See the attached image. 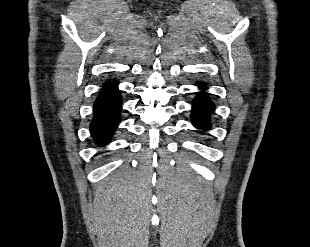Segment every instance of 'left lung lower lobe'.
Listing matches in <instances>:
<instances>
[{
	"instance_id": "left-lung-lower-lobe-1",
	"label": "left lung lower lobe",
	"mask_w": 310,
	"mask_h": 247,
	"mask_svg": "<svg viewBox=\"0 0 310 247\" xmlns=\"http://www.w3.org/2000/svg\"><path fill=\"white\" fill-rule=\"evenodd\" d=\"M203 89L205 85L199 84ZM214 109L213 103L205 94L202 97H197L193 102V109H192V123L195 127L201 128L204 130L209 129L210 127V114Z\"/></svg>"
}]
</instances>
